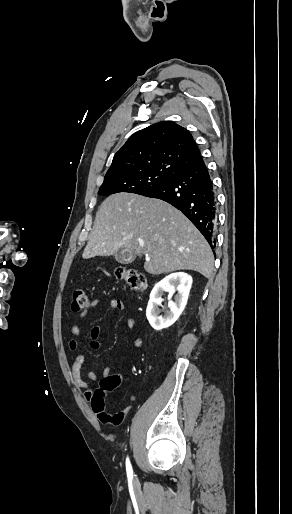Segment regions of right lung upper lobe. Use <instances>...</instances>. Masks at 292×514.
Listing matches in <instances>:
<instances>
[{
  "instance_id": "obj_1",
  "label": "right lung upper lobe",
  "mask_w": 292,
  "mask_h": 514,
  "mask_svg": "<svg viewBox=\"0 0 292 514\" xmlns=\"http://www.w3.org/2000/svg\"><path fill=\"white\" fill-rule=\"evenodd\" d=\"M203 162L192 135L184 127L163 121L134 133L114 155L104 178L144 172H168Z\"/></svg>"
}]
</instances>
